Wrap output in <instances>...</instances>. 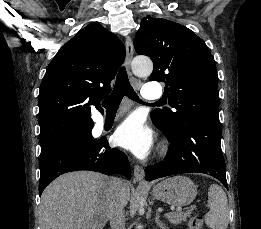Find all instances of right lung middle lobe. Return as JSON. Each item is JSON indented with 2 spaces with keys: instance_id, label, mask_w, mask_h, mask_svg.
Here are the masks:
<instances>
[{
  "instance_id": "1",
  "label": "right lung middle lobe",
  "mask_w": 261,
  "mask_h": 229,
  "mask_svg": "<svg viewBox=\"0 0 261 229\" xmlns=\"http://www.w3.org/2000/svg\"><path fill=\"white\" fill-rule=\"evenodd\" d=\"M70 141H82V142L94 143L96 140L93 139L91 131H89L73 138ZM53 148L55 147L41 146V154H45L50 150H52Z\"/></svg>"
}]
</instances>
